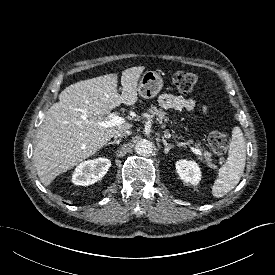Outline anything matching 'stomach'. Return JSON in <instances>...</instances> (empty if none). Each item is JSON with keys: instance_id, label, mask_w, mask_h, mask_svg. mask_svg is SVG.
<instances>
[{"instance_id": "0dacf381", "label": "stomach", "mask_w": 275, "mask_h": 275, "mask_svg": "<svg viewBox=\"0 0 275 275\" xmlns=\"http://www.w3.org/2000/svg\"><path fill=\"white\" fill-rule=\"evenodd\" d=\"M163 87V80L160 74L154 71H146L138 84V93L144 99L155 97Z\"/></svg>"}]
</instances>
